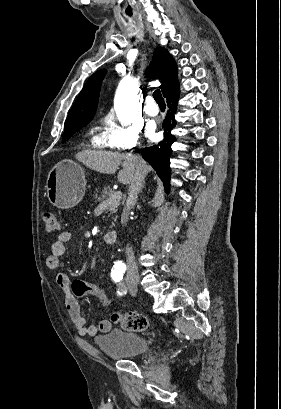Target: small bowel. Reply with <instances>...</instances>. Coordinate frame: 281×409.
Instances as JSON below:
<instances>
[{"mask_svg": "<svg viewBox=\"0 0 281 409\" xmlns=\"http://www.w3.org/2000/svg\"><path fill=\"white\" fill-rule=\"evenodd\" d=\"M71 232L64 230L51 244V253L46 260L47 268L58 270L60 257L65 253L66 244L71 240ZM56 282L64 293V303L67 314L80 336H96L98 333H107L112 329L113 320H101L98 324L88 325L80 311L78 298L82 296H95L105 305H109V299L99 286L82 280H71L64 272H57Z\"/></svg>", "mask_w": 281, "mask_h": 409, "instance_id": "small-bowel-1", "label": "small bowel"}]
</instances>
